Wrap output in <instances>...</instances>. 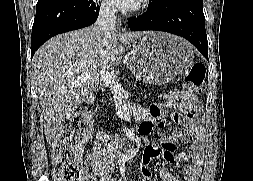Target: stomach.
Instances as JSON below:
<instances>
[{
    "mask_svg": "<svg viewBox=\"0 0 253 181\" xmlns=\"http://www.w3.org/2000/svg\"><path fill=\"white\" fill-rule=\"evenodd\" d=\"M194 58L184 39L163 32H149L132 45L129 68L139 80L161 85L189 68Z\"/></svg>",
    "mask_w": 253,
    "mask_h": 181,
    "instance_id": "0dacf381",
    "label": "stomach"
}]
</instances>
